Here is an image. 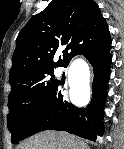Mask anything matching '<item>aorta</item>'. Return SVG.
<instances>
[{"label": "aorta", "mask_w": 124, "mask_h": 149, "mask_svg": "<svg viewBox=\"0 0 124 149\" xmlns=\"http://www.w3.org/2000/svg\"><path fill=\"white\" fill-rule=\"evenodd\" d=\"M68 78L71 87H77V84H84L88 78V70L86 65L81 62H74L68 73Z\"/></svg>", "instance_id": "762f6f07"}]
</instances>
